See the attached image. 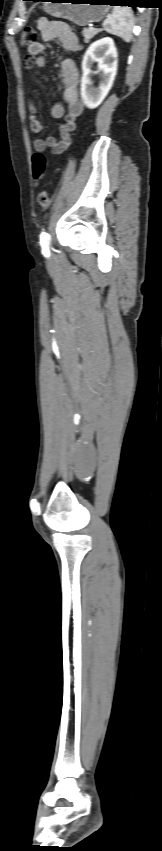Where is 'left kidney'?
Instances as JSON below:
<instances>
[{"instance_id":"obj_1","label":"left kidney","mask_w":162,"mask_h":851,"mask_svg":"<svg viewBox=\"0 0 162 851\" xmlns=\"http://www.w3.org/2000/svg\"><path fill=\"white\" fill-rule=\"evenodd\" d=\"M117 50L114 41L105 37L93 42L82 60L81 97L89 109L97 108L109 93L117 72ZM97 63L98 87L92 84V67Z\"/></svg>"}]
</instances>
